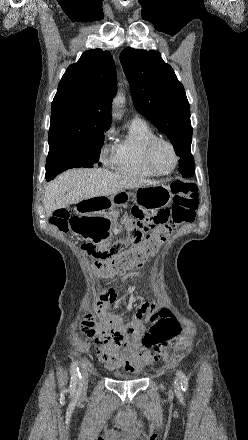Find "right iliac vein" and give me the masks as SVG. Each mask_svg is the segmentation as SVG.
<instances>
[{
	"label": "right iliac vein",
	"instance_id": "63e3f726",
	"mask_svg": "<svg viewBox=\"0 0 248 440\" xmlns=\"http://www.w3.org/2000/svg\"><path fill=\"white\" fill-rule=\"evenodd\" d=\"M88 377H89L88 370L86 367H83L82 373H81V380L79 382V388H78V393L80 395L84 394L87 389Z\"/></svg>",
	"mask_w": 248,
	"mask_h": 440
}]
</instances>
